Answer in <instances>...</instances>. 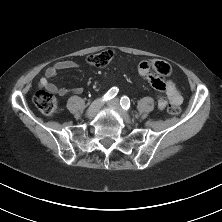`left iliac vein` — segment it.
Masks as SVG:
<instances>
[{"mask_svg":"<svg viewBox=\"0 0 222 222\" xmlns=\"http://www.w3.org/2000/svg\"><path fill=\"white\" fill-rule=\"evenodd\" d=\"M107 105L109 107L113 108L119 114V116L122 118V120L125 123H128V124L131 123L130 117L122 111L119 101L117 99H113V100L108 101Z\"/></svg>","mask_w":222,"mask_h":222,"instance_id":"obj_1","label":"left iliac vein"}]
</instances>
